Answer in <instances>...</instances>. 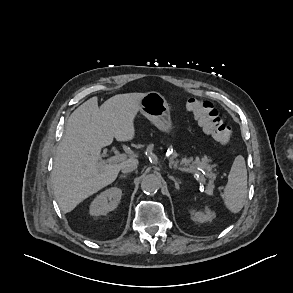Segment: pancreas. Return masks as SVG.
<instances>
[{"label": "pancreas", "mask_w": 293, "mask_h": 293, "mask_svg": "<svg viewBox=\"0 0 293 293\" xmlns=\"http://www.w3.org/2000/svg\"><path fill=\"white\" fill-rule=\"evenodd\" d=\"M177 158V153H173L172 156L170 157V164L174 165V167H176L177 165H180L184 168H190L193 170L196 169H202L205 170L207 173V177L209 178V184H208V188H207V193L208 194H212L213 192V188H214V184L213 181L215 179V174L212 172V168L215 165H210L209 163L211 162V159H209L208 157H203V158H199L196 157L195 159H193L192 157L190 158H182L180 161Z\"/></svg>", "instance_id": "pancreas-1"}]
</instances>
